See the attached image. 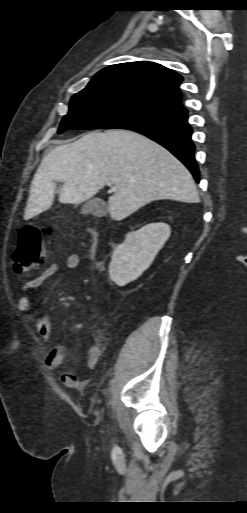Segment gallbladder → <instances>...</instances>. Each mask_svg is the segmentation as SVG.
I'll list each match as a JSON object with an SVG mask.
<instances>
[{
  "instance_id": "bac80fb5",
  "label": "gallbladder",
  "mask_w": 247,
  "mask_h": 513,
  "mask_svg": "<svg viewBox=\"0 0 247 513\" xmlns=\"http://www.w3.org/2000/svg\"><path fill=\"white\" fill-rule=\"evenodd\" d=\"M108 207L100 198H94L88 201L81 209V214H92L96 217L106 216Z\"/></svg>"
}]
</instances>
